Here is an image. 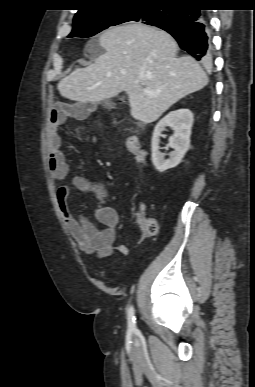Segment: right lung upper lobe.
<instances>
[{
	"label": "right lung upper lobe",
	"instance_id": "1",
	"mask_svg": "<svg viewBox=\"0 0 255 387\" xmlns=\"http://www.w3.org/2000/svg\"><path fill=\"white\" fill-rule=\"evenodd\" d=\"M199 0H81V9L78 10L74 21L86 16L111 8L122 6H173L180 7L196 4Z\"/></svg>",
	"mask_w": 255,
	"mask_h": 387
}]
</instances>
